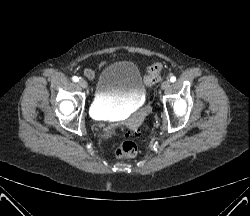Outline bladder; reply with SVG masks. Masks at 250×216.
<instances>
[{"label": "bladder", "instance_id": "31cf9c89", "mask_svg": "<svg viewBox=\"0 0 250 216\" xmlns=\"http://www.w3.org/2000/svg\"><path fill=\"white\" fill-rule=\"evenodd\" d=\"M146 90L139 68L132 61H116L98 75L91 111L98 118L116 117L141 107Z\"/></svg>", "mask_w": 250, "mask_h": 216}]
</instances>
